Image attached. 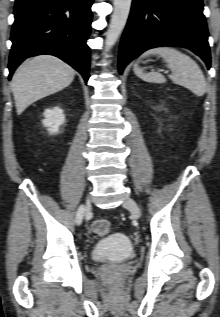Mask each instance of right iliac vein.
<instances>
[{"label": "right iliac vein", "instance_id": "right-iliac-vein-1", "mask_svg": "<svg viewBox=\"0 0 220 317\" xmlns=\"http://www.w3.org/2000/svg\"><path fill=\"white\" fill-rule=\"evenodd\" d=\"M91 200H90V196L87 197L86 203L84 205V212H88L91 210Z\"/></svg>", "mask_w": 220, "mask_h": 317}]
</instances>
